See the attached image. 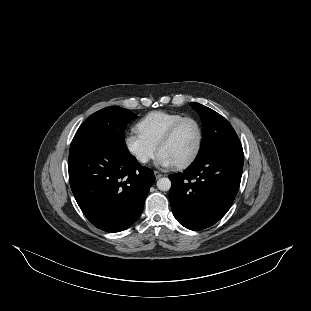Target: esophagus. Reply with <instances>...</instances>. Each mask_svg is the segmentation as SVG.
Listing matches in <instances>:
<instances>
[{
  "label": "esophagus",
  "instance_id": "obj_1",
  "mask_svg": "<svg viewBox=\"0 0 311 311\" xmlns=\"http://www.w3.org/2000/svg\"><path fill=\"white\" fill-rule=\"evenodd\" d=\"M154 175H155L156 180L163 176V174H161L159 171H156V170H154Z\"/></svg>",
  "mask_w": 311,
  "mask_h": 311
}]
</instances>
